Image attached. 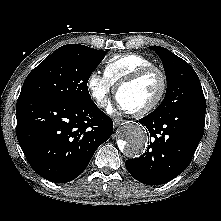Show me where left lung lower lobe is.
<instances>
[{
	"mask_svg": "<svg viewBox=\"0 0 221 221\" xmlns=\"http://www.w3.org/2000/svg\"><path fill=\"white\" fill-rule=\"evenodd\" d=\"M206 108L154 111L139 120L150 133V145L139 158L127 160L128 172L148 185L166 183L191 162L203 137Z\"/></svg>",
	"mask_w": 221,
	"mask_h": 221,
	"instance_id": "obj_1",
	"label": "left lung lower lobe"
}]
</instances>
